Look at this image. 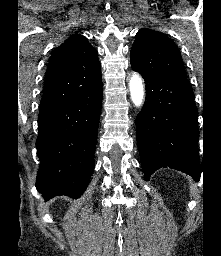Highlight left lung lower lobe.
I'll return each instance as SVG.
<instances>
[{"instance_id": "left-lung-lower-lobe-1", "label": "left lung lower lobe", "mask_w": 221, "mask_h": 256, "mask_svg": "<svg viewBox=\"0 0 221 256\" xmlns=\"http://www.w3.org/2000/svg\"><path fill=\"white\" fill-rule=\"evenodd\" d=\"M146 101L136 117L137 143L145 178L169 167L199 180L197 108L189 81L143 77Z\"/></svg>"}]
</instances>
